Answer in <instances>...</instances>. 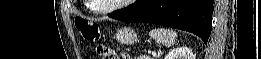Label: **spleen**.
I'll use <instances>...</instances> for the list:
<instances>
[{"mask_svg":"<svg viewBox=\"0 0 261 59\" xmlns=\"http://www.w3.org/2000/svg\"><path fill=\"white\" fill-rule=\"evenodd\" d=\"M149 35L156 42L166 47L174 45L177 38V33L174 30L166 28H155L150 31Z\"/></svg>","mask_w":261,"mask_h":59,"instance_id":"obj_1","label":"spleen"}]
</instances>
